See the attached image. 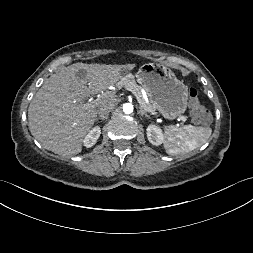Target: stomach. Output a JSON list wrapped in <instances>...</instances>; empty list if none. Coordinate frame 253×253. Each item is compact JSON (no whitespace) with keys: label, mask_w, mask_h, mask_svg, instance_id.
<instances>
[{"label":"stomach","mask_w":253,"mask_h":253,"mask_svg":"<svg viewBox=\"0 0 253 253\" xmlns=\"http://www.w3.org/2000/svg\"><path fill=\"white\" fill-rule=\"evenodd\" d=\"M136 77L150 102L164 118L175 119L186 111L188 87L171 69L161 64L145 63Z\"/></svg>","instance_id":"stomach-1"}]
</instances>
